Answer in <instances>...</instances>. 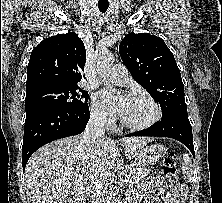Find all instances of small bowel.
Segmentation results:
<instances>
[{
	"label": "small bowel",
	"instance_id": "c3829d8e",
	"mask_svg": "<svg viewBox=\"0 0 222 203\" xmlns=\"http://www.w3.org/2000/svg\"><path fill=\"white\" fill-rule=\"evenodd\" d=\"M146 193L152 203H183L185 196L184 188L181 185H171L157 177L149 180L136 203H143Z\"/></svg>",
	"mask_w": 222,
	"mask_h": 203
}]
</instances>
